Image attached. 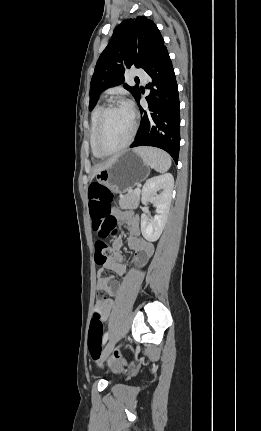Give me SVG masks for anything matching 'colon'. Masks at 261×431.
<instances>
[{
    "label": "colon",
    "instance_id": "5ec220e1",
    "mask_svg": "<svg viewBox=\"0 0 261 431\" xmlns=\"http://www.w3.org/2000/svg\"><path fill=\"white\" fill-rule=\"evenodd\" d=\"M89 197V211L92 218L93 230L100 239H105L116 233V219L112 215V201L113 195L110 190L99 182H93L88 189ZM114 256L113 249L108 246L104 241L99 240L95 244V261L98 265H103ZM104 292L98 291L96 296L97 305L106 301ZM104 329V322L101 319L100 313L97 309L91 319L89 329L88 347L89 352L93 359H96L100 353V343ZM129 352L131 349H125ZM112 364L118 366H125L127 359L122 357L120 350H115L113 354L108 357Z\"/></svg>",
    "mask_w": 261,
    "mask_h": 431
}]
</instances>
